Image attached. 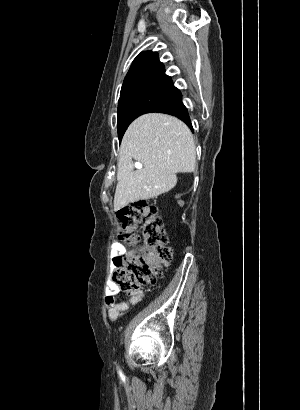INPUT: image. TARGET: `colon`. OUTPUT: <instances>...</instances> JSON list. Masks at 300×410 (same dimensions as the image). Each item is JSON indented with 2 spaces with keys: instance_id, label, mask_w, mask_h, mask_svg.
<instances>
[{
  "instance_id": "obj_1",
  "label": "colon",
  "mask_w": 300,
  "mask_h": 410,
  "mask_svg": "<svg viewBox=\"0 0 300 410\" xmlns=\"http://www.w3.org/2000/svg\"><path fill=\"white\" fill-rule=\"evenodd\" d=\"M117 218L122 225V238L128 242H142L145 252L118 256L111 285L122 292L155 285L172 260L168 236L157 206L140 200L119 210Z\"/></svg>"
}]
</instances>
